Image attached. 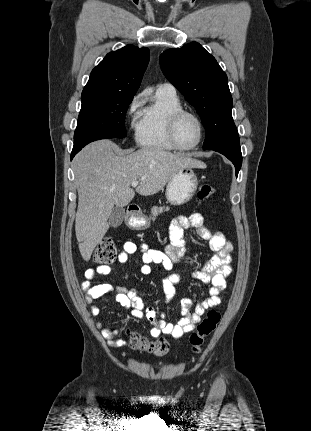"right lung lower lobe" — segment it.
Wrapping results in <instances>:
<instances>
[{
    "instance_id": "right-lung-lower-lobe-1",
    "label": "right lung lower lobe",
    "mask_w": 311,
    "mask_h": 431,
    "mask_svg": "<svg viewBox=\"0 0 311 431\" xmlns=\"http://www.w3.org/2000/svg\"><path fill=\"white\" fill-rule=\"evenodd\" d=\"M108 138H114V137H110V136H106V135H93V136L83 138L79 141H74V146H73V150L71 153V160L88 143L95 141V140L108 139Z\"/></svg>"
}]
</instances>
